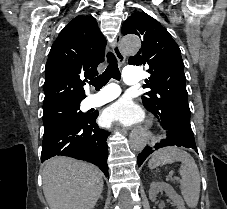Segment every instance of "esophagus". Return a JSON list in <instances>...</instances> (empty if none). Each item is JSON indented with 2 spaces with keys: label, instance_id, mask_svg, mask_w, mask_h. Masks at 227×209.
Wrapping results in <instances>:
<instances>
[{
  "label": "esophagus",
  "instance_id": "obj_1",
  "mask_svg": "<svg viewBox=\"0 0 227 209\" xmlns=\"http://www.w3.org/2000/svg\"><path fill=\"white\" fill-rule=\"evenodd\" d=\"M120 40H121V34L118 33V35L116 36L114 43H113V52L114 55L116 56L118 62L123 65L125 63L126 60V56L124 55V53H122L121 49H120ZM148 122V128H151V123ZM156 142L155 138H148L146 145L147 146H154Z\"/></svg>",
  "mask_w": 227,
  "mask_h": 209
}]
</instances>
